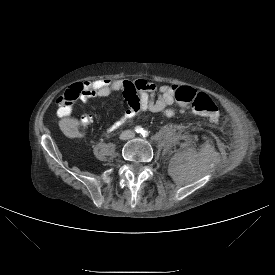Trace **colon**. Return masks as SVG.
Wrapping results in <instances>:
<instances>
[{"mask_svg": "<svg viewBox=\"0 0 275 275\" xmlns=\"http://www.w3.org/2000/svg\"><path fill=\"white\" fill-rule=\"evenodd\" d=\"M77 97V90H70L61 95L57 99L59 113L69 115ZM175 99L181 110L191 109L211 122H216L219 119L220 110L217 103L203 91L191 87H181L176 91Z\"/></svg>", "mask_w": 275, "mask_h": 275, "instance_id": "colon-1", "label": "colon"}]
</instances>
